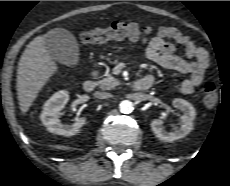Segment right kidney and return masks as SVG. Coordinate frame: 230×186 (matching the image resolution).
<instances>
[{"mask_svg":"<svg viewBox=\"0 0 230 186\" xmlns=\"http://www.w3.org/2000/svg\"><path fill=\"white\" fill-rule=\"evenodd\" d=\"M69 100L67 91H58L48 99L40 115L42 123L49 132L64 136H73L85 124L86 118H77L72 125L62 124L58 118L59 112L64 108Z\"/></svg>","mask_w":230,"mask_h":186,"instance_id":"1","label":"right kidney"}]
</instances>
